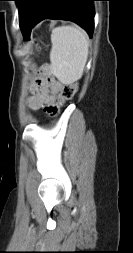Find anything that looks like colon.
Wrapping results in <instances>:
<instances>
[{
  "mask_svg": "<svg viewBox=\"0 0 133 253\" xmlns=\"http://www.w3.org/2000/svg\"><path fill=\"white\" fill-rule=\"evenodd\" d=\"M78 90V85L76 83H70L67 84L62 93L61 96L59 98V105L64 104L66 101L72 99V97L75 95V93ZM54 113L58 110V106L56 108L53 109Z\"/></svg>",
  "mask_w": 133,
  "mask_h": 253,
  "instance_id": "1",
  "label": "colon"
}]
</instances>
